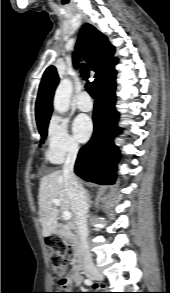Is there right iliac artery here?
<instances>
[{
    "label": "right iliac artery",
    "instance_id": "right-iliac-artery-1",
    "mask_svg": "<svg viewBox=\"0 0 170 293\" xmlns=\"http://www.w3.org/2000/svg\"><path fill=\"white\" fill-rule=\"evenodd\" d=\"M85 284L86 285H92L93 284V281L91 279H85Z\"/></svg>",
    "mask_w": 170,
    "mask_h": 293
}]
</instances>
